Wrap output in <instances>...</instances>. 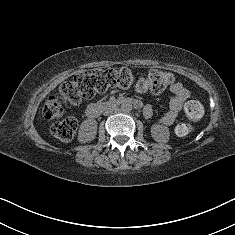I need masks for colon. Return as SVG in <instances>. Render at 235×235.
Returning <instances> with one entry per match:
<instances>
[{"label": "colon", "instance_id": "1", "mask_svg": "<svg viewBox=\"0 0 235 235\" xmlns=\"http://www.w3.org/2000/svg\"><path fill=\"white\" fill-rule=\"evenodd\" d=\"M133 82V74L125 68L81 72L72 80L61 85L59 95L48 97L44 104L43 114L47 119H59L64 113L63 101L72 105H79L83 100L90 99L108 89L128 88ZM173 82L172 73L153 69L147 75L138 78L136 88L140 92L161 93ZM184 111L189 120L197 121L202 116L203 108L196 99H188L185 102ZM76 130L77 122L72 117H66L55 122L51 128L52 134L64 142L71 141ZM189 131L190 126L184 123L176 128L179 135H185Z\"/></svg>", "mask_w": 235, "mask_h": 235}]
</instances>
